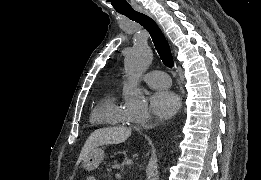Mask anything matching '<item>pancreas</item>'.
Returning a JSON list of instances; mask_svg holds the SVG:
<instances>
[{
	"label": "pancreas",
	"instance_id": "cf45deb5",
	"mask_svg": "<svg viewBox=\"0 0 261 180\" xmlns=\"http://www.w3.org/2000/svg\"><path fill=\"white\" fill-rule=\"evenodd\" d=\"M114 164H116V159H110L107 165L105 166V174L106 177L114 178L115 174L112 173V167H114Z\"/></svg>",
	"mask_w": 261,
	"mask_h": 180
}]
</instances>
